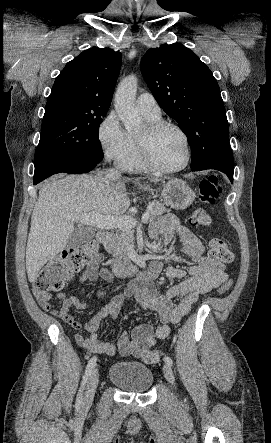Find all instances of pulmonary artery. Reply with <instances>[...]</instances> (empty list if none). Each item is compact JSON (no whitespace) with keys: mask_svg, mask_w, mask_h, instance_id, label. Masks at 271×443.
<instances>
[{"mask_svg":"<svg viewBox=\"0 0 271 443\" xmlns=\"http://www.w3.org/2000/svg\"><path fill=\"white\" fill-rule=\"evenodd\" d=\"M137 104L146 117L159 116L161 109L154 96L149 92H144L137 97Z\"/></svg>","mask_w":271,"mask_h":443,"instance_id":"pulmonary-artery-1","label":"pulmonary artery"}]
</instances>
